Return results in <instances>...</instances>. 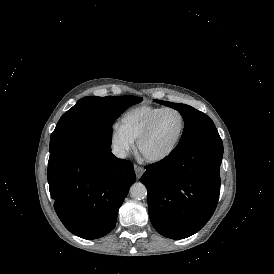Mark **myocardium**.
Returning a JSON list of instances; mask_svg holds the SVG:
<instances>
[{"instance_id": "1", "label": "myocardium", "mask_w": 274, "mask_h": 274, "mask_svg": "<svg viewBox=\"0 0 274 274\" xmlns=\"http://www.w3.org/2000/svg\"><path fill=\"white\" fill-rule=\"evenodd\" d=\"M169 111H173L176 112L180 115L181 119H182V126L180 129V132L178 134V136L176 137L173 145L171 146V148L162 156L160 157H156V158H152V157H145L141 154V146L143 141L150 135V133L153 131L154 127L156 126V124L158 123L159 119L166 113ZM187 127V120H186V116L183 113L182 110H180L179 108L176 107H165L163 108L159 113H157L150 121L149 123L146 125V127L142 130V132L139 134V136L136 139V153L138 158L146 163V164H150V165H158V164H162L164 162H166L167 160H169L172 155L176 152L183 136L185 133Z\"/></svg>"}]
</instances>
